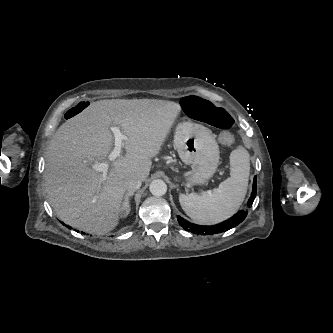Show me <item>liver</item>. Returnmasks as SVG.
Wrapping results in <instances>:
<instances>
[{"label":"liver","mask_w":333,"mask_h":333,"mask_svg":"<svg viewBox=\"0 0 333 333\" xmlns=\"http://www.w3.org/2000/svg\"><path fill=\"white\" fill-rule=\"evenodd\" d=\"M181 107L156 99H112L89 104L62 124L46 155L45 185L58 217L85 232L104 234L119 222L124 181H145ZM117 125L128 141L126 154L111 162L106 180L91 164L108 159L113 148L109 127Z\"/></svg>","instance_id":"6515ba94"}]
</instances>
